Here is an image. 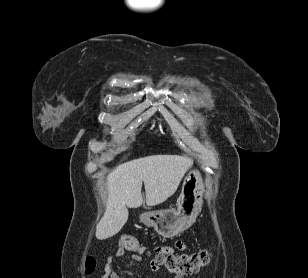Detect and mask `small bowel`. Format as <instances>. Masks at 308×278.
Listing matches in <instances>:
<instances>
[{"label":"small bowel","instance_id":"c3829d8e","mask_svg":"<svg viewBox=\"0 0 308 278\" xmlns=\"http://www.w3.org/2000/svg\"><path fill=\"white\" fill-rule=\"evenodd\" d=\"M185 248V245L178 241L175 244V247H171V246H158L156 248H154L153 252H147L146 253V257L151 259V265L154 269H156V264L154 262V260L152 259V255L153 254H170V253H174L175 249L177 250H183ZM127 258L133 262L139 263L142 260L141 255L139 254H131V255H127L125 250L123 248H119L114 254H112L111 256H109L104 264V275L102 278H120V276L118 275V273L115 271V269L113 268V260L114 259H121V258ZM175 278H182L181 275H176Z\"/></svg>","mask_w":308,"mask_h":278}]
</instances>
